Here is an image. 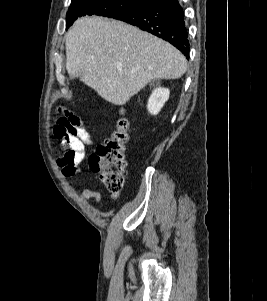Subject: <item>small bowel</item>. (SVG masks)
<instances>
[{
	"instance_id": "obj_1",
	"label": "small bowel",
	"mask_w": 267,
	"mask_h": 301,
	"mask_svg": "<svg viewBox=\"0 0 267 301\" xmlns=\"http://www.w3.org/2000/svg\"><path fill=\"white\" fill-rule=\"evenodd\" d=\"M57 111L62 114L54 127V135L64 147V154L58 160L65 177L75 175L79 171V164L85 156V146L92 145L90 131L82 121L72 112L58 108ZM83 199H92L95 205L101 201V193L96 190L85 189L82 191Z\"/></svg>"
}]
</instances>
